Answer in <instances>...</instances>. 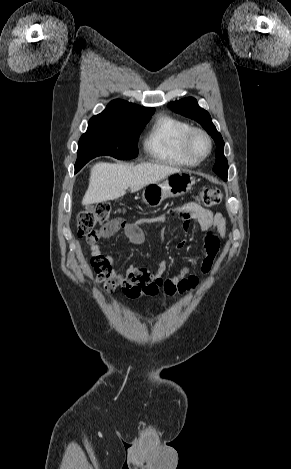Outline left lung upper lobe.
Wrapping results in <instances>:
<instances>
[{"label":"left lung upper lobe","mask_w":291,"mask_h":469,"mask_svg":"<svg viewBox=\"0 0 291 469\" xmlns=\"http://www.w3.org/2000/svg\"><path fill=\"white\" fill-rule=\"evenodd\" d=\"M171 110L183 116L189 117L199 124L208 132L216 143V163L213 171L218 174L223 180H227L228 175V162L223 154L224 141L221 134L216 130L215 125L212 123L210 114L201 108L197 100L193 97L181 99L179 101L170 102L168 104Z\"/></svg>","instance_id":"left-lung-upper-lobe-1"}]
</instances>
